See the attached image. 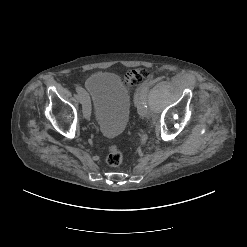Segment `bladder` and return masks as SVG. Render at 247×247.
Instances as JSON below:
<instances>
[{
    "label": "bladder",
    "instance_id": "1",
    "mask_svg": "<svg viewBox=\"0 0 247 247\" xmlns=\"http://www.w3.org/2000/svg\"><path fill=\"white\" fill-rule=\"evenodd\" d=\"M98 130L113 137L126 128L131 108V96L121 78L111 72L90 75L85 82Z\"/></svg>",
    "mask_w": 247,
    "mask_h": 247
}]
</instances>
